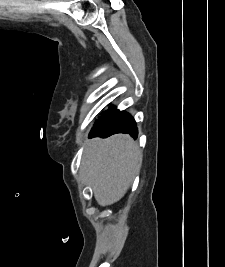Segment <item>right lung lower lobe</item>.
Here are the masks:
<instances>
[{
	"label": "right lung lower lobe",
	"mask_w": 225,
	"mask_h": 267,
	"mask_svg": "<svg viewBox=\"0 0 225 267\" xmlns=\"http://www.w3.org/2000/svg\"><path fill=\"white\" fill-rule=\"evenodd\" d=\"M116 133H127L136 139L138 130L134 118L129 113L111 107L96 121L89 137L106 138Z\"/></svg>",
	"instance_id": "obj_1"
}]
</instances>
